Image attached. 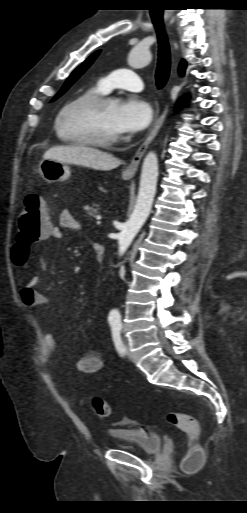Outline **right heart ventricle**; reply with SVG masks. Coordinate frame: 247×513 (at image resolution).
<instances>
[{
	"label": "right heart ventricle",
	"mask_w": 247,
	"mask_h": 513,
	"mask_svg": "<svg viewBox=\"0 0 247 513\" xmlns=\"http://www.w3.org/2000/svg\"><path fill=\"white\" fill-rule=\"evenodd\" d=\"M103 90L100 88V86H92V87H89L87 88L85 91H83L77 98L81 97V96H85V95H91V94H103ZM59 137L65 141V142H69V143H73L68 137L67 135H62V134H59Z\"/></svg>",
	"instance_id": "right-heart-ventricle-1"
}]
</instances>
